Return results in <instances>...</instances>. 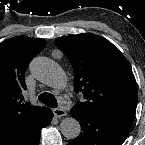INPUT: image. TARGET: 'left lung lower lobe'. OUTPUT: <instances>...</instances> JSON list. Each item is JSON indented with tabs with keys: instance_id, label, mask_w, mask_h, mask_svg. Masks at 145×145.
<instances>
[{
	"instance_id": "1",
	"label": "left lung lower lobe",
	"mask_w": 145,
	"mask_h": 145,
	"mask_svg": "<svg viewBox=\"0 0 145 145\" xmlns=\"http://www.w3.org/2000/svg\"><path fill=\"white\" fill-rule=\"evenodd\" d=\"M82 132L68 145H122L132 127L135 116L128 114L90 113L71 109Z\"/></svg>"
}]
</instances>
